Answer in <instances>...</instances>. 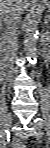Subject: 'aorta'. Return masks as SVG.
Here are the masks:
<instances>
[{
	"instance_id": "762f6f07",
	"label": "aorta",
	"mask_w": 50,
	"mask_h": 148,
	"mask_svg": "<svg viewBox=\"0 0 50 148\" xmlns=\"http://www.w3.org/2000/svg\"><path fill=\"white\" fill-rule=\"evenodd\" d=\"M41 20V9L33 6L27 18L24 34V50L31 64L37 62L38 25Z\"/></svg>"
}]
</instances>
